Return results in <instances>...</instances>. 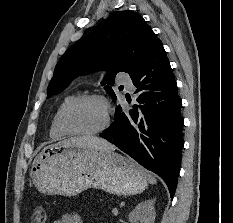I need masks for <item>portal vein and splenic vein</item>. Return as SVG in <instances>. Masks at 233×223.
<instances>
[{
    "instance_id": "portal-vein-and-splenic-vein-1",
    "label": "portal vein and splenic vein",
    "mask_w": 233,
    "mask_h": 223,
    "mask_svg": "<svg viewBox=\"0 0 233 223\" xmlns=\"http://www.w3.org/2000/svg\"><path fill=\"white\" fill-rule=\"evenodd\" d=\"M112 213H114V215H118V209H117V207H113Z\"/></svg>"
}]
</instances>
